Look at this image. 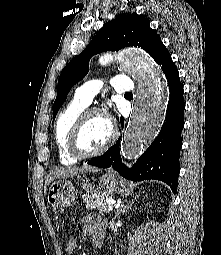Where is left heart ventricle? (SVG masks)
Wrapping results in <instances>:
<instances>
[{"mask_svg": "<svg viewBox=\"0 0 221 255\" xmlns=\"http://www.w3.org/2000/svg\"><path fill=\"white\" fill-rule=\"evenodd\" d=\"M108 135L106 120L100 116H91L82 129L80 147L84 152L95 151L105 143Z\"/></svg>", "mask_w": 221, "mask_h": 255, "instance_id": "obj_1", "label": "left heart ventricle"}]
</instances>
